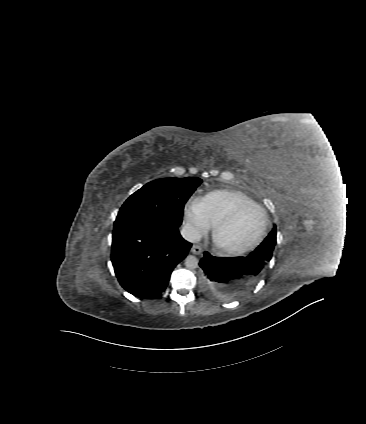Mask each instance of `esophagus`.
Masks as SVG:
<instances>
[{
	"instance_id": "34e87169",
	"label": "esophagus",
	"mask_w": 366,
	"mask_h": 424,
	"mask_svg": "<svg viewBox=\"0 0 366 424\" xmlns=\"http://www.w3.org/2000/svg\"><path fill=\"white\" fill-rule=\"evenodd\" d=\"M191 252L193 254L199 255L202 253V248L198 245H193V247L191 248Z\"/></svg>"
}]
</instances>
